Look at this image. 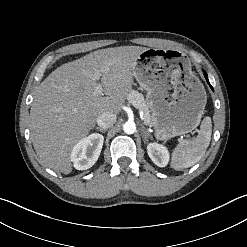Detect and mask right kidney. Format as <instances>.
Listing matches in <instances>:
<instances>
[{"instance_id": "ca27d5eb", "label": "right kidney", "mask_w": 247, "mask_h": 247, "mask_svg": "<svg viewBox=\"0 0 247 247\" xmlns=\"http://www.w3.org/2000/svg\"><path fill=\"white\" fill-rule=\"evenodd\" d=\"M104 137L93 133L79 140L71 151V161L77 170H86L98 160L103 146Z\"/></svg>"}]
</instances>
